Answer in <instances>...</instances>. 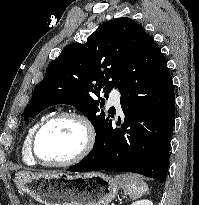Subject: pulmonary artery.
<instances>
[{
	"mask_svg": "<svg viewBox=\"0 0 199 205\" xmlns=\"http://www.w3.org/2000/svg\"><path fill=\"white\" fill-rule=\"evenodd\" d=\"M120 98L121 95L119 91L115 90L111 92L108 101V104L114 106L119 112H121Z\"/></svg>",
	"mask_w": 199,
	"mask_h": 205,
	"instance_id": "pulmonary-artery-1",
	"label": "pulmonary artery"
}]
</instances>
